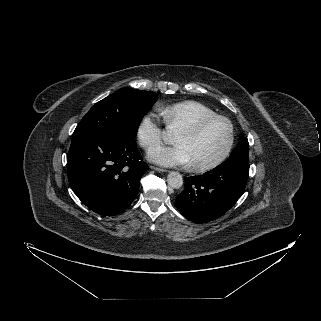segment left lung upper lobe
<instances>
[{
    "instance_id": "5c2ea615",
    "label": "left lung upper lobe",
    "mask_w": 321,
    "mask_h": 321,
    "mask_svg": "<svg viewBox=\"0 0 321 321\" xmlns=\"http://www.w3.org/2000/svg\"><path fill=\"white\" fill-rule=\"evenodd\" d=\"M249 154V143L248 139L241 136L237 147L232 151L230 156H245Z\"/></svg>"
}]
</instances>
